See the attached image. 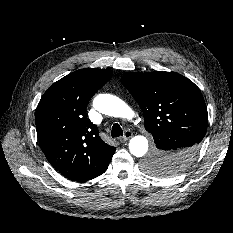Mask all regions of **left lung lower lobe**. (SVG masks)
<instances>
[{"instance_id":"0a47b994","label":"left lung lower lobe","mask_w":233,"mask_h":233,"mask_svg":"<svg viewBox=\"0 0 233 233\" xmlns=\"http://www.w3.org/2000/svg\"><path fill=\"white\" fill-rule=\"evenodd\" d=\"M157 149L170 153L168 158L179 168L185 169L196 156L193 139L180 133H157L153 136ZM171 176V175H169Z\"/></svg>"}]
</instances>
